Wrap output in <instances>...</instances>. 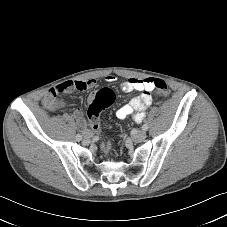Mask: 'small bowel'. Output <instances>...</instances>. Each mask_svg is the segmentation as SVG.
<instances>
[{
	"label": "small bowel",
	"mask_w": 227,
	"mask_h": 227,
	"mask_svg": "<svg viewBox=\"0 0 227 227\" xmlns=\"http://www.w3.org/2000/svg\"><path fill=\"white\" fill-rule=\"evenodd\" d=\"M107 83L116 82L117 78L114 75H108L105 78ZM77 84H82L83 88H77ZM96 85L95 79H89L86 81H67L59 84L45 96L43 103L49 109H57L64 107V102L58 100V95L69 92L73 89L85 90L93 88ZM120 88L124 93H131L134 91L141 92L140 95L132 97L125 105L120 107L116 112L115 116L118 119H124L128 116H132V119L136 123H141L145 118L146 109L152 104L153 98L150 94L154 87L153 78H129L124 80ZM93 98V95L89 96V100ZM73 117L76 119L78 127L85 133L88 131L86 121L82 118V110L77 108L73 111ZM104 147V145H103ZM106 147L109 150V145L106 143Z\"/></svg>",
	"instance_id": "1"
}]
</instances>
